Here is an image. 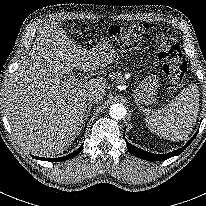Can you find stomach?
I'll return each instance as SVG.
<instances>
[{"label": "stomach", "instance_id": "0dacf381", "mask_svg": "<svg viewBox=\"0 0 206 206\" xmlns=\"http://www.w3.org/2000/svg\"><path fill=\"white\" fill-rule=\"evenodd\" d=\"M97 47L101 48L105 52L109 63L113 61V58L118 52L108 37L102 38L97 44ZM158 88V77L154 73L149 72L148 75L138 83L133 91L136 105L143 106L154 104L157 99Z\"/></svg>", "mask_w": 206, "mask_h": 206}]
</instances>
